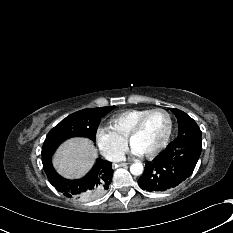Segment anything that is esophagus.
Returning a JSON list of instances; mask_svg holds the SVG:
<instances>
[{
	"mask_svg": "<svg viewBox=\"0 0 233 233\" xmlns=\"http://www.w3.org/2000/svg\"><path fill=\"white\" fill-rule=\"evenodd\" d=\"M118 165H119V166H125V165H127V163L121 162V163H119Z\"/></svg>",
	"mask_w": 233,
	"mask_h": 233,
	"instance_id": "1",
	"label": "esophagus"
}]
</instances>
